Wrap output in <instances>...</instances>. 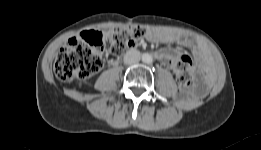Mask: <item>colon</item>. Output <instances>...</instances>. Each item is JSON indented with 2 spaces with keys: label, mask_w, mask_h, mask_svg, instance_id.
I'll use <instances>...</instances> for the list:
<instances>
[{
  "label": "colon",
  "mask_w": 261,
  "mask_h": 150,
  "mask_svg": "<svg viewBox=\"0 0 261 150\" xmlns=\"http://www.w3.org/2000/svg\"><path fill=\"white\" fill-rule=\"evenodd\" d=\"M144 34L143 28L126 25L73 37L61 48L55 60L54 73L61 81L88 78L102 67L107 53L116 56L124 54L137 45ZM164 64L175 72L181 85L190 84L192 61L188 55L168 57Z\"/></svg>",
  "instance_id": "1"
}]
</instances>
